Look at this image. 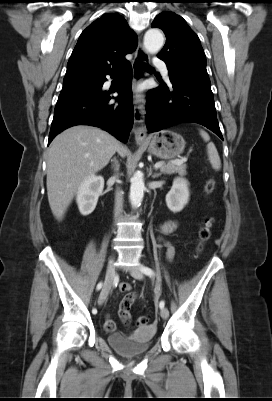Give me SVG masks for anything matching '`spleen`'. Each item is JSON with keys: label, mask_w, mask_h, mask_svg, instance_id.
Here are the masks:
<instances>
[{"label": "spleen", "mask_w": 272, "mask_h": 401, "mask_svg": "<svg viewBox=\"0 0 272 401\" xmlns=\"http://www.w3.org/2000/svg\"><path fill=\"white\" fill-rule=\"evenodd\" d=\"M200 135L202 136L204 141L209 142L210 137H209L207 132H205L204 130H200ZM207 154H208L209 161H210V163L212 165V168L217 170V171L220 170V168H221V160H220L218 151H217L214 143L209 142L207 144Z\"/></svg>", "instance_id": "3e777b00"}]
</instances>
